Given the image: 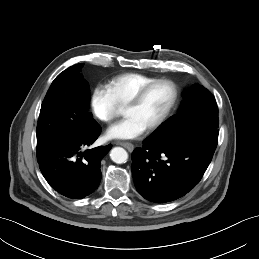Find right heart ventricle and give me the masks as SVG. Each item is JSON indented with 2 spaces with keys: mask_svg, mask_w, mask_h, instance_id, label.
<instances>
[{
  "mask_svg": "<svg viewBox=\"0 0 259 259\" xmlns=\"http://www.w3.org/2000/svg\"><path fill=\"white\" fill-rule=\"evenodd\" d=\"M156 80L155 77L140 73L119 75L107 84V89L118 106H124L140 88Z\"/></svg>",
  "mask_w": 259,
  "mask_h": 259,
  "instance_id": "obj_1",
  "label": "right heart ventricle"
}]
</instances>
